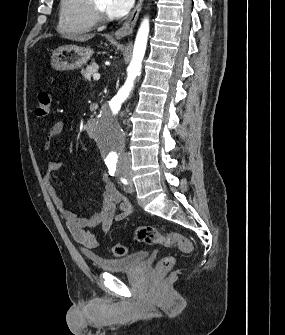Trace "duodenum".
<instances>
[{
	"label": "duodenum",
	"mask_w": 285,
	"mask_h": 335,
	"mask_svg": "<svg viewBox=\"0 0 285 335\" xmlns=\"http://www.w3.org/2000/svg\"><path fill=\"white\" fill-rule=\"evenodd\" d=\"M96 121L94 119H89L86 123V130L90 136H95Z\"/></svg>",
	"instance_id": "1"
}]
</instances>
